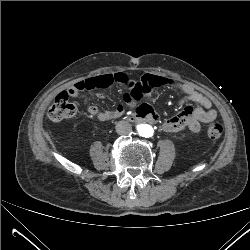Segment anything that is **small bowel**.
I'll return each instance as SVG.
<instances>
[{"mask_svg":"<svg viewBox=\"0 0 250 250\" xmlns=\"http://www.w3.org/2000/svg\"><path fill=\"white\" fill-rule=\"evenodd\" d=\"M165 85L179 88L183 92V95L179 101V104L183 109L180 113L166 120L163 124V130L168 133L179 132L185 128H188L192 132H199L202 123H212L217 118V111L213 107L211 100L198 91L194 86L190 84L180 83L175 79H166ZM141 81V80H140ZM140 81L130 80L128 82L129 92L125 94L127 101L132 102L139 98L140 92L136 89V85H140ZM78 93L72 94V97L77 96ZM98 97H102L101 93L97 94ZM194 103L196 106H191ZM123 109L122 106L118 107ZM91 116L100 115L98 109L94 106L88 108ZM111 112V111H106Z\"/></svg>","mask_w":250,"mask_h":250,"instance_id":"c3829d8e","label":"small bowel"}]
</instances>
